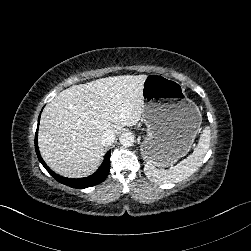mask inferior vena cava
<instances>
[{
  "instance_id": "inferior-vena-cava-1",
  "label": "inferior vena cava",
  "mask_w": 251,
  "mask_h": 251,
  "mask_svg": "<svg viewBox=\"0 0 251 251\" xmlns=\"http://www.w3.org/2000/svg\"><path fill=\"white\" fill-rule=\"evenodd\" d=\"M115 138V133L112 130L107 129L101 136V144L105 147L111 146L114 143Z\"/></svg>"
}]
</instances>
